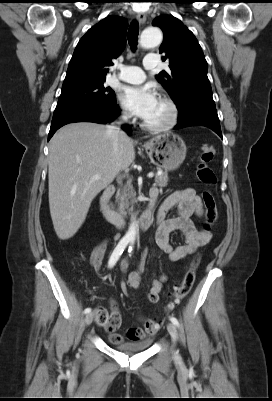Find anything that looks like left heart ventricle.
<instances>
[{
  "mask_svg": "<svg viewBox=\"0 0 272 401\" xmlns=\"http://www.w3.org/2000/svg\"><path fill=\"white\" fill-rule=\"evenodd\" d=\"M168 117H169L168 106L164 102L158 99L154 109L149 114V116L144 119V121L150 124H160L164 123L168 119Z\"/></svg>",
  "mask_w": 272,
  "mask_h": 401,
  "instance_id": "1",
  "label": "left heart ventricle"
}]
</instances>
